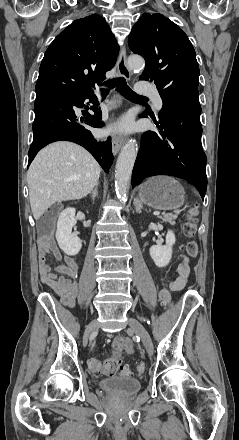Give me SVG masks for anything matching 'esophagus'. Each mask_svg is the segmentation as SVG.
<instances>
[{
    "label": "esophagus",
    "mask_w": 239,
    "mask_h": 440,
    "mask_svg": "<svg viewBox=\"0 0 239 440\" xmlns=\"http://www.w3.org/2000/svg\"><path fill=\"white\" fill-rule=\"evenodd\" d=\"M117 69H118V73L121 77L126 78V80H130L131 78V73L130 70L127 66V61H126V50L123 47L121 52H120V56L117 62ZM124 144V138L114 135L112 138V152L113 155H116L118 153V151L120 150V148L122 147V145Z\"/></svg>",
    "instance_id": "1"
}]
</instances>
